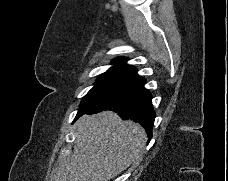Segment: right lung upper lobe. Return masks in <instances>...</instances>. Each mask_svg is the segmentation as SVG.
<instances>
[{"mask_svg": "<svg viewBox=\"0 0 228 181\" xmlns=\"http://www.w3.org/2000/svg\"><path fill=\"white\" fill-rule=\"evenodd\" d=\"M125 61L126 58L124 57L114 59L113 63L115 65L111 67L107 72L100 75V77L115 78L128 81H132L138 78L139 75L137 74V70L133 66L127 65Z\"/></svg>", "mask_w": 228, "mask_h": 181, "instance_id": "right-lung-upper-lobe-1", "label": "right lung upper lobe"}]
</instances>
